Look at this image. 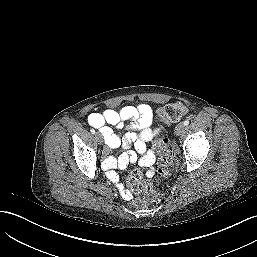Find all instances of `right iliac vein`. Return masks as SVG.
<instances>
[{
    "label": "right iliac vein",
    "mask_w": 257,
    "mask_h": 257,
    "mask_svg": "<svg viewBox=\"0 0 257 257\" xmlns=\"http://www.w3.org/2000/svg\"><path fill=\"white\" fill-rule=\"evenodd\" d=\"M96 138H97L99 144L103 143V137L99 132L96 133Z\"/></svg>",
    "instance_id": "63e3f726"
}]
</instances>
